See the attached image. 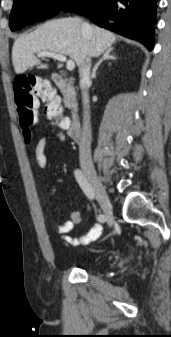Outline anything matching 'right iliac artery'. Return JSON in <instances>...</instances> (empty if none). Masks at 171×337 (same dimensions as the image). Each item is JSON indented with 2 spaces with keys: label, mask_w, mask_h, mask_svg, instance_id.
Returning a JSON list of instances; mask_svg holds the SVG:
<instances>
[{
  "label": "right iliac artery",
  "mask_w": 171,
  "mask_h": 337,
  "mask_svg": "<svg viewBox=\"0 0 171 337\" xmlns=\"http://www.w3.org/2000/svg\"><path fill=\"white\" fill-rule=\"evenodd\" d=\"M75 178L78 182V184L80 185V187L82 188L83 192L86 194V196L90 199L94 198V191L92 186L90 185L89 181L87 180V178L85 177V175L82 173L81 170L76 169L75 172ZM98 220L100 222H104L106 220L105 215L100 214L98 216Z\"/></svg>",
  "instance_id": "obj_1"
}]
</instances>
